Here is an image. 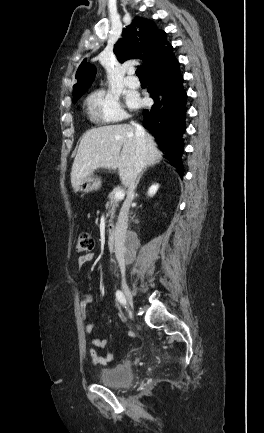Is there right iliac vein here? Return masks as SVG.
<instances>
[{"instance_id": "63e3f726", "label": "right iliac vein", "mask_w": 264, "mask_h": 433, "mask_svg": "<svg viewBox=\"0 0 264 433\" xmlns=\"http://www.w3.org/2000/svg\"><path fill=\"white\" fill-rule=\"evenodd\" d=\"M122 287H123V291L126 297V300L128 302V304L132 307L133 305V295L132 292L130 290V288L128 287L127 283L125 280L122 281Z\"/></svg>"}]
</instances>
